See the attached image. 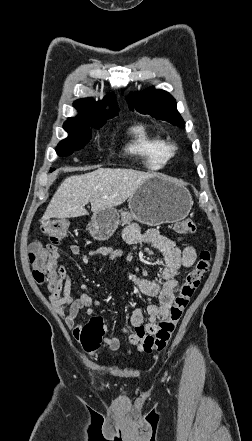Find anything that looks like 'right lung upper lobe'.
Here are the masks:
<instances>
[{
    "label": "right lung upper lobe",
    "mask_w": 252,
    "mask_h": 441,
    "mask_svg": "<svg viewBox=\"0 0 252 441\" xmlns=\"http://www.w3.org/2000/svg\"><path fill=\"white\" fill-rule=\"evenodd\" d=\"M106 105H112L110 110H105ZM117 103L111 98H106L100 102H95L91 98L80 99L74 102V106L79 111V115L68 120L80 121L85 123H99L117 115Z\"/></svg>",
    "instance_id": "1"
}]
</instances>
